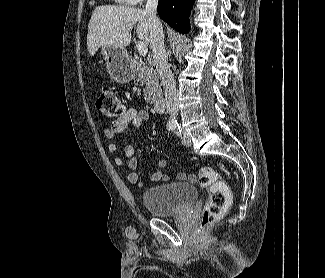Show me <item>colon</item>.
I'll return each mask as SVG.
<instances>
[{
  "label": "colon",
  "instance_id": "obj_1",
  "mask_svg": "<svg viewBox=\"0 0 325 278\" xmlns=\"http://www.w3.org/2000/svg\"><path fill=\"white\" fill-rule=\"evenodd\" d=\"M96 110L106 119H118L125 113L124 103L110 89H101L95 100ZM194 181V177H190ZM198 183L208 190V201L198 222V231L204 232L226 213L231 203V191L215 170L203 166L198 170Z\"/></svg>",
  "mask_w": 325,
  "mask_h": 278
}]
</instances>
